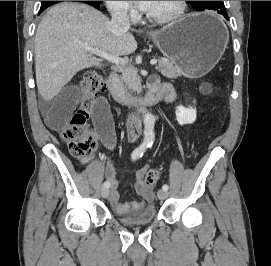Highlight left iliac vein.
I'll list each match as a JSON object with an SVG mask.
<instances>
[{
	"instance_id": "4c4485c4",
	"label": "left iliac vein",
	"mask_w": 271,
	"mask_h": 266,
	"mask_svg": "<svg viewBox=\"0 0 271 266\" xmlns=\"http://www.w3.org/2000/svg\"><path fill=\"white\" fill-rule=\"evenodd\" d=\"M157 196H158V198H159L160 200H165V199H167V197H168V192L165 191V190H163V189H160V190H158V192H157Z\"/></svg>"
}]
</instances>
